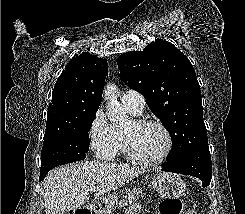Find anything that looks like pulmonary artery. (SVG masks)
Instances as JSON below:
<instances>
[{"label":"pulmonary artery","instance_id":"e3ab8cb5","mask_svg":"<svg viewBox=\"0 0 245 214\" xmlns=\"http://www.w3.org/2000/svg\"><path fill=\"white\" fill-rule=\"evenodd\" d=\"M122 104L135 111L136 113H141L145 107L144 97L137 91L128 90L122 96Z\"/></svg>","mask_w":245,"mask_h":214}]
</instances>
